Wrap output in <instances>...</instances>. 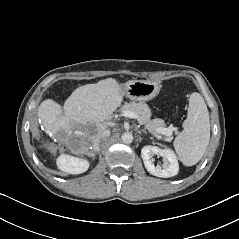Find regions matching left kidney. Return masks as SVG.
<instances>
[{
    "mask_svg": "<svg viewBox=\"0 0 239 239\" xmlns=\"http://www.w3.org/2000/svg\"><path fill=\"white\" fill-rule=\"evenodd\" d=\"M154 155L161 156L167 164L156 167L154 165ZM141 156L147 171L157 177L168 178L178 174L179 164L175 153L170 149H160L156 146H144L141 150Z\"/></svg>",
    "mask_w": 239,
    "mask_h": 239,
    "instance_id": "1",
    "label": "left kidney"
}]
</instances>
